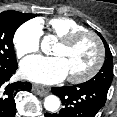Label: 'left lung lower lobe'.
Instances as JSON below:
<instances>
[{
  "label": "left lung lower lobe",
  "mask_w": 117,
  "mask_h": 117,
  "mask_svg": "<svg viewBox=\"0 0 117 117\" xmlns=\"http://www.w3.org/2000/svg\"><path fill=\"white\" fill-rule=\"evenodd\" d=\"M63 108L59 113H46L45 117H94L106 102L107 92L87 83L74 86L53 87Z\"/></svg>",
  "instance_id": "obj_1"
}]
</instances>
